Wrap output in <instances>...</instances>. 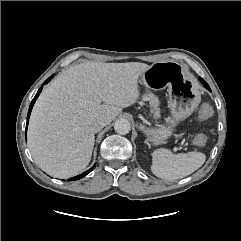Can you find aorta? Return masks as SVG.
Wrapping results in <instances>:
<instances>
[{
  "label": "aorta",
  "mask_w": 241,
  "mask_h": 241,
  "mask_svg": "<svg viewBox=\"0 0 241 241\" xmlns=\"http://www.w3.org/2000/svg\"><path fill=\"white\" fill-rule=\"evenodd\" d=\"M130 122L127 119H118L115 122L114 129L118 134L126 135L130 132Z\"/></svg>",
  "instance_id": "762f6f07"
}]
</instances>
